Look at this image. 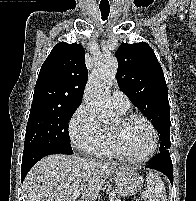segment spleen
Returning <instances> with one entry per match:
<instances>
[{"mask_svg": "<svg viewBox=\"0 0 196 201\" xmlns=\"http://www.w3.org/2000/svg\"><path fill=\"white\" fill-rule=\"evenodd\" d=\"M144 201H166L165 186L157 173L149 172L147 188L142 193Z\"/></svg>", "mask_w": 196, "mask_h": 201, "instance_id": "spleen-1", "label": "spleen"}]
</instances>
